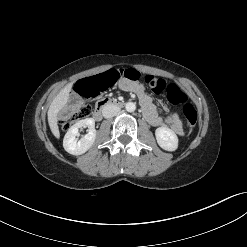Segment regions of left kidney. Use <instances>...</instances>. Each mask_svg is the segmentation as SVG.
Returning <instances> with one entry per match:
<instances>
[{
    "label": "left kidney",
    "instance_id": "5707ae66",
    "mask_svg": "<svg viewBox=\"0 0 247 247\" xmlns=\"http://www.w3.org/2000/svg\"><path fill=\"white\" fill-rule=\"evenodd\" d=\"M159 146L167 151H175L178 148V137L175 132L167 127H159L155 131Z\"/></svg>",
    "mask_w": 247,
    "mask_h": 247
}]
</instances>
